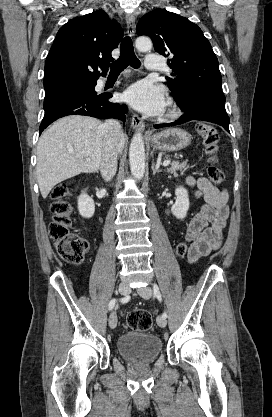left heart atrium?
<instances>
[{"label":"left heart atrium","mask_w":272,"mask_h":417,"mask_svg":"<svg viewBox=\"0 0 272 417\" xmlns=\"http://www.w3.org/2000/svg\"><path fill=\"white\" fill-rule=\"evenodd\" d=\"M123 99L134 109L148 115L163 113L167 105L164 89L147 80L129 86L123 93Z\"/></svg>","instance_id":"1"}]
</instances>
